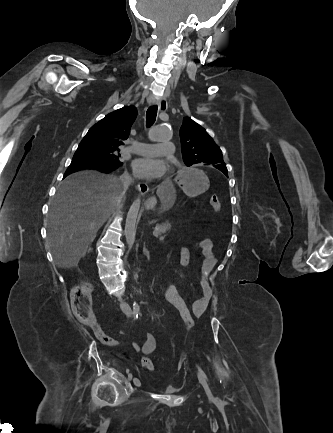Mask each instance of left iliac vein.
<instances>
[{
    "mask_svg": "<svg viewBox=\"0 0 333 433\" xmlns=\"http://www.w3.org/2000/svg\"><path fill=\"white\" fill-rule=\"evenodd\" d=\"M197 376H198V379H199L200 383L202 384V386H203L205 392H206L208 395H211L210 388H209V386H208V384H207V381H206L205 377L203 376V374H202L200 371H198V372H197Z\"/></svg>",
    "mask_w": 333,
    "mask_h": 433,
    "instance_id": "obj_1",
    "label": "left iliac vein"
}]
</instances>
